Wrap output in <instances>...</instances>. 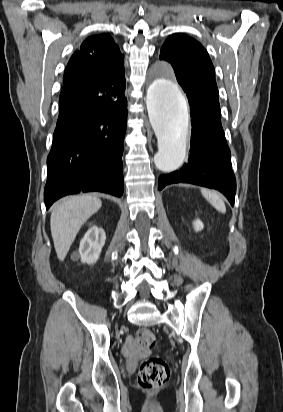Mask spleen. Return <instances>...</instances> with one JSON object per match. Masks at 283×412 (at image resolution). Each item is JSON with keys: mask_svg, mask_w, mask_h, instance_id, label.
<instances>
[{"mask_svg": "<svg viewBox=\"0 0 283 412\" xmlns=\"http://www.w3.org/2000/svg\"><path fill=\"white\" fill-rule=\"evenodd\" d=\"M205 199L219 212L226 213V206L220 195L214 191L207 189L201 190Z\"/></svg>", "mask_w": 283, "mask_h": 412, "instance_id": "spleen-1", "label": "spleen"}]
</instances>
